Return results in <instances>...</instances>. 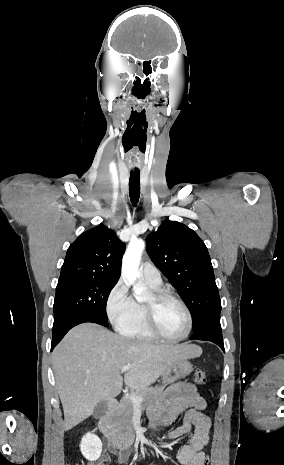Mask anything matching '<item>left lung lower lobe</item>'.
I'll return each mask as SVG.
<instances>
[{
    "mask_svg": "<svg viewBox=\"0 0 284 465\" xmlns=\"http://www.w3.org/2000/svg\"><path fill=\"white\" fill-rule=\"evenodd\" d=\"M190 339L211 341L217 344L225 352L220 320L208 321L197 331H194Z\"/></svg>",
    "mask_w": 284,
    "mask_h": 465,
    "instance_id": "1",
    "label": "left lung lower lobe"
}]
</instances>
